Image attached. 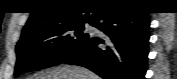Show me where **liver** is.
Returning a JSON list of instances; mask_svg holds the SVG:
<instances>
[{
	"label": "liver",
	"instance_id": "liver-1",
	"mask_svg": "<svg viewBox=\"0 0 177 79\" xmlns=\"http://www.w3.org/2000/svg\"><path fill=\"white\" fill-rule=\"evenodd\" d=\"M28 79H100L92 71L80 67L62 65L55 68L39 71Z\"/></svg>",
	"mask_w": 177,
	"mask_h": 79
}]
</instances>
